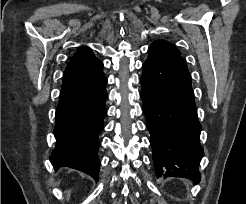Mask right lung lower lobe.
Instances as JSON below:
<instances>
[{
  "label": "right lung lower lobe",
  "instance_id": "1",
  "mask_svg": "<svg viewBox=\"0 0 246 204\" xmlns=\"http://www.w3.org/2000/svg\"><path fill=\"white\" fill-rule=\"evenodd\" d=\"M103 63L70 62L56 110V146L50 156L55 170L70 167L98 180V135L104 128L107 100Z\"/></svg>",
  "mask_w": 246,
  "mask_h": 204
}]
</instances>
